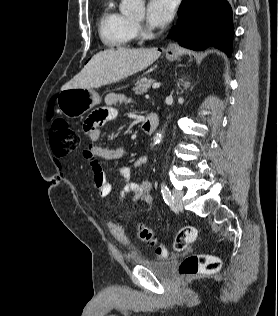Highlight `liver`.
<instances>
[{"label":"liver","instance_id":"obj_1","mask_svg":"<svg viewBox=\"0 0 278 316\" xmlns=\"http://www.w3.org/2000/svg\"><path fill=\"white\" fill-rule=\"evenodd\" d=\"M153 49H108L95 54L85 67L66 83L70 88H95L111 84L144 70L160 56Z\"/></svg>","mask_w":278,"mask_h":316}]
</instances>
